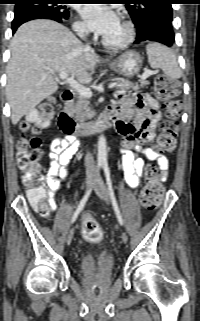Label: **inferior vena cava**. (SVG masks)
Listing matches in <instances>:
<instances>
[{
	"mask_svg": "<svg viewBox=\"0 0 200 321\" xmlns=\"http://www.w3.org/2000/svg\"><path fill=\"white\" fill-rule=\"evenodd\" d=\"M79 35L81 38H85L87 35V32L81 31ZM86 48L91 49L89 45H86ZM85 167H86L87 175H92V176L96 175L97 170H96L95 162L90 152H87L85 156Z\"/></svg>",
	"mask_w": 200,
	"mask_h": 321,
	"instance_id": "obj_1",
	"label": "inferior vena cava"
}]
</instances>
